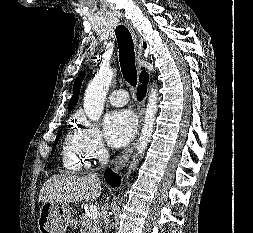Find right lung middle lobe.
Here are the masks:
<instances>
[{
    "mask_svg": "<svg viewBox=\"0 0 253 233\" xmlns=\"http://www.w3.org/2000/svg\"><path fill=\"white\" fill-rule=\"evenodd\" d=\"M60 134H61V131H59V133H58V135H57V138H56L55 144H54V148H55V146H56V144H57V141H58V139H59V137H60ZM54 148H53V151H54Z\"/></svg>",
    "mask_w": 253,
    "mask_h": 233,
    "instance_id": "obj_1",
    "label": "right lung middle lobe"
}]
</instances>
